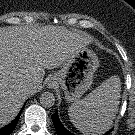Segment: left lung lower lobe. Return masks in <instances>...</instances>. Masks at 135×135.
I'll use <instances>...</instances> for the list:
<instances>
[{
    "label": "left lung lower lobe",
    "mask_w": 135,
    "mask_h": 135,
    "mask_svg": "<svg viewBox=\"0 0 135 135\" xmlns=\"http://www.w3.org/2000/svg\"><path fill=\"white\" fill-rule=\"evenodd\" d=\"M52 121H53L54 126H55V128H56L57 135H73L72 133H70V132L61 124L57 112H55V113L52 115ZM111 131H112V130H110L109 132H107V133L104 134V135H108Z\"/></svg>",
    "instance_id": "1"
}]
</instances>
